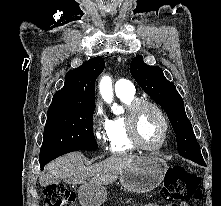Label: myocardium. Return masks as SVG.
Wrapping results in <instances>:
<instances>
[{
    "label": "myocardium",
    "mask_w": 221,
    "mask_h": 206,
    "mask_svg": "<svg viewBox=\"0 0 221 206\" xmlns=\"http://www.w3.org/2000/svg\"><path fill=\"white\" fill-rule=\"evenodd\" d=\"M143 107H148L153 109L160 117L163 123V136L160 142L156 145L150 146L146 145L140 137L138 124H137V117L139 110ZM127 119V128L129 132V137L133 145L140 150L143 151H157L161 149L164 144L166 143L170 131L169 122L167 119L166 114L164 111L154 102L148 100H136L133 104L128 107V111L126 114Z\"/></svg>",
    "instance_id": "f54148a6"
}]
</instances>
